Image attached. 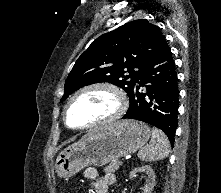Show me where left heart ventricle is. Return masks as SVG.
<instances>
[{"label":"left heart ventricle","instance_id":"left-heart-ventricle-1","mask_svg":"<svg viewBox=\"0 0 221 193\" xmlns=\"http://www.w3.org/2000/svg\"><path fill=\"white\" fill-rule=\"evenodd\" d=\"M115 105L114 97L106 91L86 92L70 105L68 122L73 127L85 126L111 113Z\"/></svg>","mask_w":221,"mask_h":193}]
</instances>
